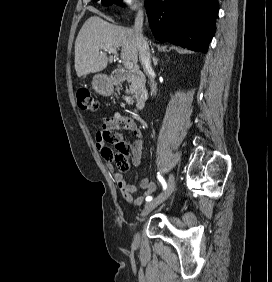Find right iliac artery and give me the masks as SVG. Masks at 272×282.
Listing matches in <instances>:
<instances>
[{
    "instance_id": "82829eb1",
    "label": "right iliac artery",
    "mask_w": 272,
    "mask_h": 282,
    "mask_svg": "<svg viewBox=\"0 0 272 282\" xmlns=\"http://www.w3.org/2000/svg\"><path fill=\"white\" fill-rule=\"evenodd\" d=\"M158 179L160 180V182L162 183L163 189L165 190L167 187L166 182L164 181V179L161 177V175L158 173ZM153 198L151 196H148L146 198V201H151Z\"/></svg>"
}]
</instances>
